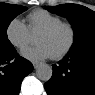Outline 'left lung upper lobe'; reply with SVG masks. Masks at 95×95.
I'll return each mask as SVG.
<instances>
[{
	"label": "left lung upper lobe",
	"instance_id": "1",
	"mask_svg": "<svg viewBox=\"0 0 95 95\" xmlns=\"http://www.w3.org/2000/svg\"><path fill=\"white\" fill-rule=\"evenodd\" d=\"M52 13L66 17L74 29V43L71 52L95 45V12L77 4H61L55 7L47 6Z\"/></svg>",
	"mask_w": 95,
	"mask_h": 95
}]
</instances>
